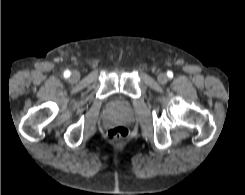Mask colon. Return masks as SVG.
<instances>
[{
	"label": "colon",
	"mask_w": 245,
	"mask_h": 195,
	"mask_svg": "<svg viewBox=\"0 0 245 195\" xmlns=\"http://www.w3.org/2000/svg\"><path fill=\"white\" fill-rule=\"evenodd\" d=\"M129 135V131L124 126H117L108 131V137L112 140H121Z\"/></svg>",
	"instance_id": "obj_1"
}]
</instances>
